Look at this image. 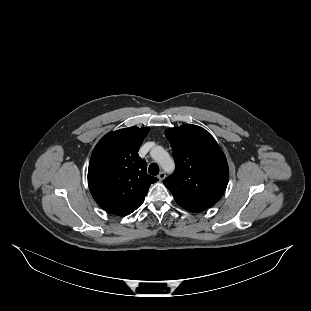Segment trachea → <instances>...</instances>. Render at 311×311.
<instances>
[{
    "mask_svg": "<svg viewBox=\"0 0 311 311\" xmlns=\"http://www.w3.org/2000/svg\"><path fill=\"white\" fill-rule=\"evenodd\" d=\"M149 174L156 176L159 174V166L156 163H152L148 168Z\"/></svg>",
    "mask_w": 311,
    "mask_h": 311,
    "instance_id": "1",
    "label": "trachea"
}]
</instances>
